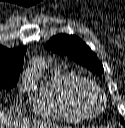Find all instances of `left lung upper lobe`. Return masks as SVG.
<instances>
[{
  "mask_svg": "<svg viewBox=\"0 0 125 128\" xmlns=\"http://www.w3.org/2000/svg\"><path fill=\"white\" fill-rule=\"evenodd\" d=\"M46 48L52 52L67 55L70 59L86 66L92 72H104L103 66L95 53L77 36L65 34L53 36L46 43ZM120 122L125 126V121L122 117Z\"/></svg>",
  "mask_w": 125,
  "mask_h": 128,
  "instance_id": "left-lung-upper-lobe-1",
  "label": "left lung upper lobe"
}]
</instances>
